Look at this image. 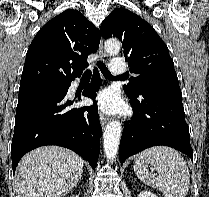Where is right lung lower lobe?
I'll list each match as a JSON object with an SVG mask.
<instances>
[{"label": "right lung lower lobe", "instance_id": "obj_1", "mask_svg": "<svg viewBox=\"0 0 209 197\" xmlns=\"http://www.w3.org/2000/svg\"><path fill=\"white\" fill-rule=\"evenodd\" d=\"M70 84L63 92L18 102L11 146L13 171L24 154L44 145L66 147L87 160L93 169L97 166L102 133L97 104L94 101L92 107L71 108L75 100L66 97ZM100 86L95 68L83 95L94 100Z\"/></svg>", "mask_w": 209, "mask_h": 197}]
</instances>
